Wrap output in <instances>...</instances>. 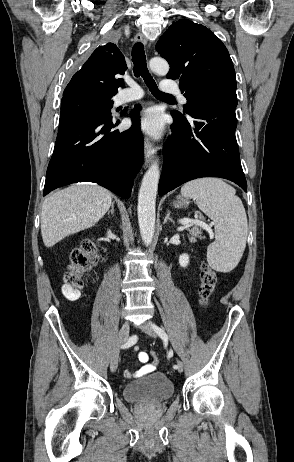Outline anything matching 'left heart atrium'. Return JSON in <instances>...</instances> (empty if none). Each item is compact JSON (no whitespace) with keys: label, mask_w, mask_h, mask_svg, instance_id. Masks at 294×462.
Here are the masks:
<instances>
[{"label":"left heart atrium","mask_w":294,"mask_h":462,"mask_svg":"<svg viewBox=\"0 0 294 462\" xmlns=\"http://www.w3.org/2000/svg\"><path fill=\"white\" fill-rule=\"evenodd\" d=\"M139 127L151 136H159L163 125L159 113L155 109H148L137 119Z\"/></svg>","instance_id":"obj_1"}]
</instances>
